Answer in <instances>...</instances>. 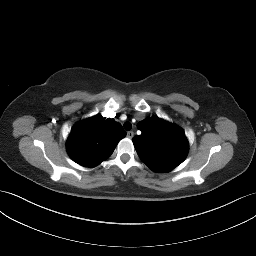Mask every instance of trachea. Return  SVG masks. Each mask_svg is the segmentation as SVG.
<instances>
[{"label":"trachea","instance_id":"obj_1","mask_svg":"<svg viewBox=\"0 0 256 256\" xmlns=\"http://www.w3.org/2000/svg\"><path fill=\"white\" fill-rule=\"evenodd\" d=\"M123 126H124V129L127 131L132 129V124L130 122H125Z\"/></svg>","mask_w":256,"mask_h":256}]
</instances>
